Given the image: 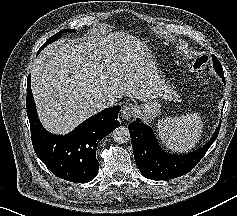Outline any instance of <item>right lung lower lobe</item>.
I'll list each match as a JSON object with an SVG mask.
<instances>
[{"instance_id":"right-lung-lower-lobe-1","label":"right lung lower lobe","mask_w":237,"mask_h":216,"mask_svg":"<svg viewBox=\"0 0 237 216\" xmlns=\"http://www.w3.org/2000/svg\"><path fill=\"white\" fill-rule=\"evenodd\" d=\"M27 116L30 123L32 144L38 158L57 177L75 183L94 179L99 164L96 149L99 141L120 126V106L107 108L90 117L65 136L48 133L40 124L27 78Z\"/></svg>"}]
</instances>
